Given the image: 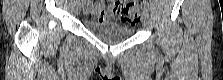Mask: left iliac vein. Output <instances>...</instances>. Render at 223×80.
Segmentation results:
<instances>
[{"mask_svg":"<svg viewBox=\"0 0 223 80\" xmlns=\"http://www.w3.org/2000/svg\"><path fill=\"white\" fill-rule=\"evenodd\" d=\"M149 23H150L149 13L146 10H144L142 14V24L144 27L147 28L149 26Z\"/></svg>","mask_w":223,"mask_h":80,"instance_id":"4c4485c4","label":"left iliac vein"}]
</instances>
